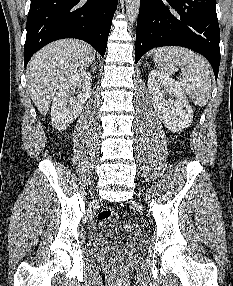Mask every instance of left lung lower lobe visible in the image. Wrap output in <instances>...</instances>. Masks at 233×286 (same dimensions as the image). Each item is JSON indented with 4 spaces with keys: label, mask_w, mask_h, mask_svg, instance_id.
I'll use <instances>...</instances> for the list:
<instances>
[{
    "label": "left lung lower lobe",
    "mask_w": 233,
    "mask_h": 286,
    "mask_svg": "<svg viewBox=\"0 0 233 286\" xmlns=\"http://www.w3.org/2000/svg\"><path fill=\"white\" fill-rule=\"evenodd\" d=\"M219 41L215 0H140L135 63L154 47L182 46L206 57L217 79Z\"/></svg>",
    "instance_id": "left-lung-lower-lobe-1"
}]
</instances>
